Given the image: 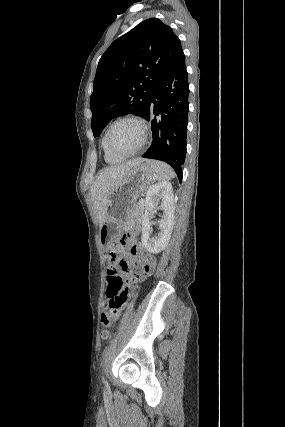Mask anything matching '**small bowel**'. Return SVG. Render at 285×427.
I'll return each mask as SVG.
<instances>
[{"label":"small bowel","mask_w":285,"mask_h":427,"mask_svg":"<svg viewBox=\"0 0 285 427\" xmlns=\"http://www.w3.org/2000/svg\"><path fill=\"white\" fill-rule=\"evenodd\" d=\"M138 230H139V228L138 227H135L134 228V232L135 233H137L138 232ZM138 261H150L149 260V257H148V255L146 254V253H144V252H141L140 254H139V256H138V259H137ZM123 261H126V257L124 256L123 257ZM152 268H154V265H155V262L152 260ZM114 267H120V263H119V261H116L115 263H114ZM120 269H121V267H120ZM116 296H119L120 295V292L119 291H117V292H115L114 293ZM126 306H127V302H126V300L123 302V304L121 305V307L119 308V310H118V314H117V317L125 310V308H126Z\"/></svg>","instance_id":"obj_1"}]
</instances>
